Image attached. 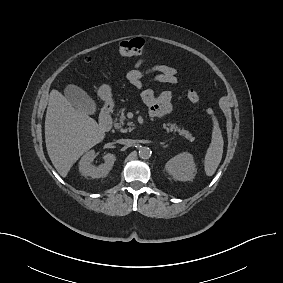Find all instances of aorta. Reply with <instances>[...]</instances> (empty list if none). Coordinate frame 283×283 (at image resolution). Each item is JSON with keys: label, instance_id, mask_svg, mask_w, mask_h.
I'll return each mask as SVG.
<instances>
[{"label": "aorta", "instance_id": "aorta-1", "mask_svg": "<svg viewBox=\"0 0 283 283\" xmlns=\"http://www.w3.org/2000/svg\"><path fill=\"white\" fill-rule=\"evenodd\" d=\"M151 149L149 147H141L139 149V157L141 159H149L151 156Z\"/></svg>", "mask_w": 283, "mask_h": 283}]
</instances>
